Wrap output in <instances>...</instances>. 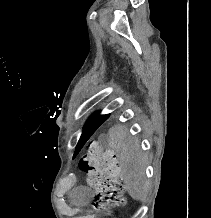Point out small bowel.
<instances>
[{
	"mask_svg": "<svg viewBox=\"0 0 211 218\" xmlns=\"http://www.w3.org/2000/svg\"><path fill=\"white\" fill-rule=\"evenodd\" d=\"M92 195V191L88 187H78L70 193V197L75 203H82Z\"/></svg>",
	"mask_w": 211,
	"mask_h": 218,
	"instance_id": "c3829d8e",
	"label": "small bowel"
}]
</instances>
